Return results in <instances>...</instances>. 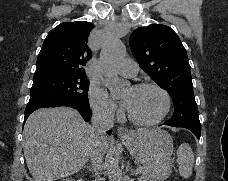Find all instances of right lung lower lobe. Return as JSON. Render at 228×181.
Listing matches in <instances>:
<instances>
[{"instance_id":"right-lung-lower-lobe-1","label":"right lung lower lobe","mask_w":228,"mask_h":181,"mask_svg":"<svg viewBox=\"0 0 228 181\" xmlns=\"http://www.w3.org/2000/svg\"><path fill=\"white\" fill-rule=\"evenodd\" d=\"M57 106H68L71 108H75L79 111V113L82 115L85 121H89L92 115L91 109L89 108H84L80 107L77 105H74L70 102H65V101H42V102H36V103H28L26 109H25V117H24V122L28 118V116L35 110L39 108H44V107H57ZM108 134H111V131L107 132Z\"/></svg>"}]
</instances>
